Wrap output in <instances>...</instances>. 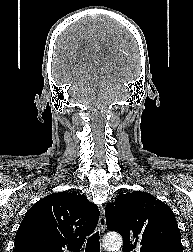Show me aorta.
Listing matches in <instances>:
<instances>
[{
	"instance_id": "aorta-1",
	"label": "aorta",
	"mask_w": 193,
	"mask_h": 252,
	"mask_svg": "<svg viewBox=\"0 0 193 252\" xmlns=\"http://www.w3.org/2000/svg\"><path fill=\"white\" fill-rule=\"evenodd\" d=\"M103 246L110 251H116L122 246V237L116 233L107 234L103 239Z\"/></svg>"
}]
</instances>
